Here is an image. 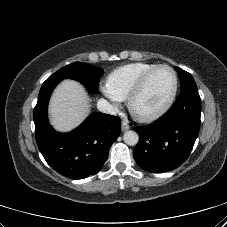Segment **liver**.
<instances>
[{"instance_id":"1","label":"liver","mask_w":227,"mask_h":227,"mask_svg":"<svg viewBox=\"0 0 227 227\" xmlns=\"http://www.w3.org/2000/svg\"><path fill=\"white\" fill-rule=\"evenodd\" d=\"M88 96L84 87L74 80H64L55 89L50 105L49 116L53 127L58 131H70L87 116Z\"/></svg>"}]
</instances>
